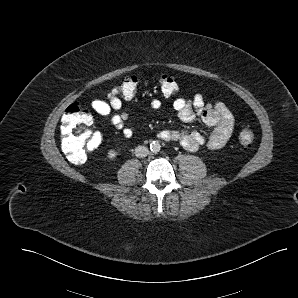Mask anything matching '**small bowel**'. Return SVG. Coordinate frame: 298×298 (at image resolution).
<instances>
[{
	"label": "small bowel",
	"instance_id": "1",
	"mask_svg": "<svg viewBox=\"0 0 298 298\" xmlns=\"http://www.w3.org/2000/svg\"><path fill=\"white\" fill-rule=\"evenodd\" d=\"M161 106L162 102L159 99L150 101V107L154 110H159ZM91 107L98 115L110 117L112 125L125 138H131L135 134L136 127L128 124L131 114L122 110V103L118 97L109 95L106 100L95 99ZM173 108L181 121L191 122L199 117L206 125L213 127V131L205 136L198 131L167 129L159 133V137L163 140L178 141L188 151H197L203 146L215 150L223 147L232 135L235 125L234 115L220 101H209L203 94L196 93L190 99L176 98L173 101Z\"/></svg>",
	"mask_w": 298,
	"mask_h": 298
}]
</instances>
